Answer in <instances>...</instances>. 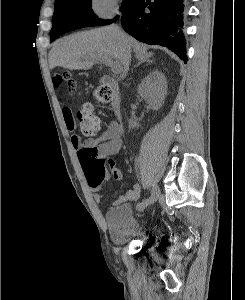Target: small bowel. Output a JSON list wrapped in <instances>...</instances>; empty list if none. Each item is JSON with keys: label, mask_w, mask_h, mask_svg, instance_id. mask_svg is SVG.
Segmentation results:
<instances>
[{"label": "small bowel", "mask_w": 245, "mask_h": 300, "mask_svg": "<svg viewBox=\"0 0 245 300\" xmlns=\"http://www.w3.org/2000/svg\"><path fill=\"white\" fill-rule=\"evenodd\" d=\"M61 112L65 126L71 135V145L77 152L78 158L81 163V152L86 149H95L97 156L104 159L111 169L112 177L115 180L120 181L122 179V172L116 168L112 156L118 153L122 146L123 127L120 123L111 122L101 136L94 140L89 139L82 141L78 135L74 133L76 123L73 114L69 107L61 101ZM82 165V164H81ZM141 187L139 184H135L131 190L122 195L117 203H121L128 200H136L140 196ZM95 202L99 203L102 199L100 193H95L93 196Z\"/></svg>", "instance_id": "small-bowel-1"}]
</instances>
